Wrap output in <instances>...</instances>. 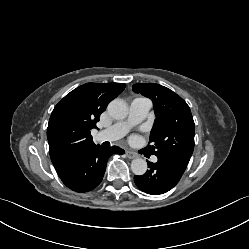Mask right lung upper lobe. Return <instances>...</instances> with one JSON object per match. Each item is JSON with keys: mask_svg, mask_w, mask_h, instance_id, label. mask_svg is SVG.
Instances as JSON below:
<instances>
[{"mask_svg": "<svg viewBox=\"0 0 249 249\" xmlns=\"http://www.w3.org/2000/svg\"><path fill=\"white\" fill-rule=\"evenodd\" d=\"M125 86L124 83H86L55 106L47 138L51 161L59 176L94 145L90 130L96 128L100 114Z\"/></svg>", "mask_w": 249, "mask_h": 249, "instance_id": "right-lung-upper-lobe-1", "label": "right lung upper lobe"}]
</instances>
